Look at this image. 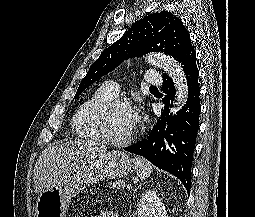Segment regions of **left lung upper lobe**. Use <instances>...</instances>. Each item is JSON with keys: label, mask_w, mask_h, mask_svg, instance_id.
I'll return each mask as SVG.
<instances>
[{"label": "left lung upper lobe", "mask_w": 255, "mask_h": 217, "mask_svg": "<svg viewBox=\"0 0 255 217\" xmlns=\"http://www.w3.org/2000/svg\"><path fill=\"white\" fill-rule=\"evenodd\" d=\"M190 45L189 33L179 18L167 11L150 14L136 21L121 39L101 53L82 79L74 99L128 58L156 51L177 59Z\"/></svg>", "instance_id": "1"}]
</instances>
